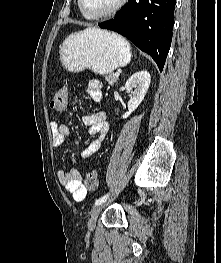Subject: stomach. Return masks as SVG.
Wrapping results in <instances>:
<instances>
[{"instance_id":"1","label":"stomach","mask_w":221,"mask_h":263,"mask_svg":"<svg viewBox=\"0 0 221 263\" xmlns=\"http://www.w3.org/2000/svg\"><path fill=\"white\" fill-rule=\"evenodd\" d=\"M59 53L63 67L70 72L89 69L105 75L131 60L128 42L116 33L100 29H86L69 36Z\"/></svg>"}]
</instances>
